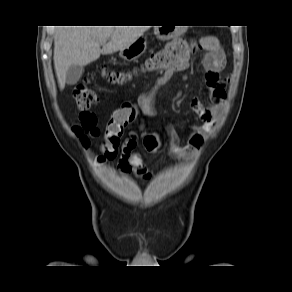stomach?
<instances>
[{
	"instance_id": "1",
	"label": "stomach",
	"mask_w": 292,
	"mask_h": 292,
	"mask_svg": "<svg viewBox=\"0 0 292 292\" xmlns=\"http://www.w3.org/2000/svg\"><path fill=\"white\" fill-rule=\"evenodd\" d=\"M155 35L162 40H167L176 35V31L171 27L156 26L154 29ZM147 48V41L143 36H140L133 44L129 47L124 48L120 51V56L125 61H133L140 57Z\"/></svg>"
}]
</instances>
